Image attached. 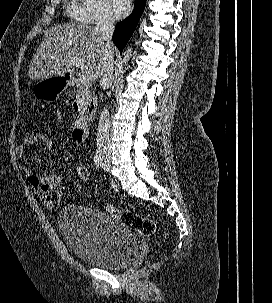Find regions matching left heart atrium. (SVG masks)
Wrapping results in <instances>:
<instances>
[{
	"label": "left heart atrium",
	"instance_id": "1",
	"mask_svg": "<svg viewBox=\"0 0 272 303\" xmlns=\"http://www.w3.org/2000/svg\"><path fill=\"white\" fill-rule=\"evenodd\" d=\"M110 12L114 18H124L130 11V0H108Z\"/></svg>",
	"mask_w": 272,
	"mask_h": 303
}]
</instances>
